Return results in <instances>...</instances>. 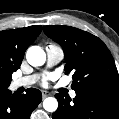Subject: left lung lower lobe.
I'll return each instance as SVG.
<instances>
[{"label":"left lung lower lobe","mask_w":119,"mask_h":119,"mask_svg":"<svg viewBox=\"0 0 119 119\" xmlns=\"http://www.w3.org/2000/svg\"><path fill=\"white\" fill-rule=\"evenodd\" d=\"M58 109L52 119H119V95L76 92V97L64 98L57 93Z\"/></svg>","instance_id":"0a47b994"}]
</instances>
